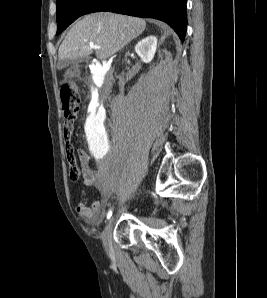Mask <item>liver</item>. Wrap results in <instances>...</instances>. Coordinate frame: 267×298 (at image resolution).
Segmentation results:
<instances>
[{"instance_id": "liver-1", "label": "liver", "mask_w": 267, "mask_h": 298, "mask_svg": "<svg viewBox=\"0 0 267 298\" xmlns=\"http://www.w3.org/2000/svg\"><path fill=\"white\" fill-rule=\"evenodd\" d=\"M146 28L143 19L110 12L86 15L76 22L59 47V60H75L93 53L91 44L101 46L96 50L98 59H107L137 38Z\"/></svg>"}]
</instances>
